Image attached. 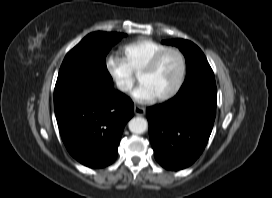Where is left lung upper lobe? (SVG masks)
<instances>
[{
	"label": "left lung upper lobe",
	"instance_id": "left-lung-upper-lobe-1",
	"mask_svg": "<svg viewBox=\"0 0 272 198\" xmlns=\"http://www.w3.org/2000/svg\"><path fill=\"white\" fill-rule=\"evenodd\" d=\"M180 49L186 58L187 75L180 90L203 83H215L214 73L203 52L192 42L184 39L163 41Z\"/></svg>",
	"mask_w": 272,
	"mask_h": 198
}]
</instances>
